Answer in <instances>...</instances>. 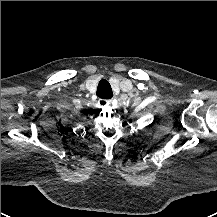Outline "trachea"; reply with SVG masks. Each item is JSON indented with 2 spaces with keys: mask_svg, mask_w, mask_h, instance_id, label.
I'll return each instance as SVG.
<instances>
[{
  "mask_svg": "<svg viewBox=\"0 0 217 217\" xmlns=\"http://www.w3.org/2000/svg\"><path fill=\"white\" fill-rule=\"evenodd\" d=\"M96 94L101 99H111L113 97V91L110 83L105 79L101 80L98 84Z\"/></svg>",
  "mask_w": 217,
  "mask_h": 217,
  "instance_id": "3493384b",
  "label": "trachea"
}]
</instances>
